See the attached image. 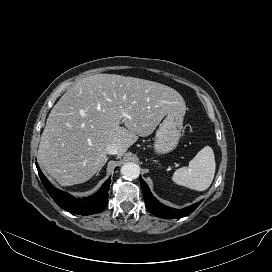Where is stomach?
<instances>
[{"mask_svg":"<svg viewBox=\"0 0 272 272\" xmlns=\"http://www.w3.org/2000/svg\"><path fill=\"white\" fill-rule=\"evenodd\" d=\"M184 115L178 111L169 112L156 130L154 150L158 154L174 150L181 137Z\"/></svg>","mask_w":272,"mask_h":272,"instance_id":"obj_1","label":"stomach"}]
</instances>
